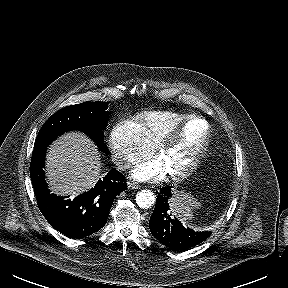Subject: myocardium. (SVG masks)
<instances>
[{
	"mask_svg": "<svg viewBox=\"0 0 288 288\" xmlns=\"http://www.w3.org/2000/svg\"><path fill=\"white\" fill-rule=\"evenodd\" d=\"M199 120L205 123L206 125V132L204 139L199 146V148L194 153L193 157L190 159V161L181 169L170 172L169 175L173 179H183L187 176H189L198 166L200 160L202 159L203 155L205 154L206 150L209 147L210 144V138H211V125L210 123L202 116L199 115H190L183 119L182 121L175 124L172 128H170L165 134L162 135V137L159 139L157 145H156V153L158 155H161L165 152V150L175 141L178 134L181 132V130L191 121Z\"/></svg>",
	"mask_w": 288,
	"mask_h": 288,
	"instance_id": "obj_1",
	"label": "myocardium"
}]
</instances>
